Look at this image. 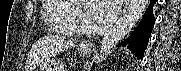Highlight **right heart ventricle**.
<instances>
[{"label": "right heart ventricle", "mask_w": 181, "mask_h": 71, "mask_svg": "<svg viewBox=\"0 0 181 71\" xmlns=\"http://www.w3.org/2000/svg\"><path fill=\"white\" fill-rule=\"evenodd\" d=\"M42 2L43 20L49 30L67 36L78 33L79 10L74 1L44 0Z\"/></svg>", "instance_id": "right-heart-ventricle-1"}]
</instances>
